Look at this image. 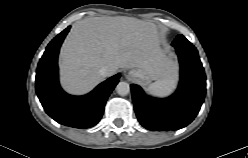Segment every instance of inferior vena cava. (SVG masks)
I'll list each match as a JSON object with an SVG mask.
<instances>
[{"label": "inferior vena cava", "instance_id": "602c4592", "mask_svg": "<svg viewBox=\"0 0 248 158\" xmlns=\"http://www.w3.org/2000/svg\"><path fill=\"white\" fill-rule=\"evenodd\" d=\"M99 74L104 78L110 75V69L107 66L102 67L99 70Z\"/></svg>", "mask_w": 248, "mask_h": 158}]
</instances>
